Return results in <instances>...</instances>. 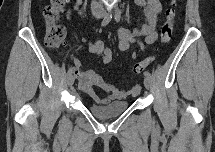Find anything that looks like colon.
<instances>
[{
  "instance_id": "5ec220e1",
  "label": "colon",
  "mask_w": 215,
  "mask_h": 152,
  "mask_svg": "<svg viewBox=\"0 0 215 152\" xmlns=\"http://www.w3.org/2000/svg\"><path fill=\"white\" fill-rule=\"evenodd\" d=\"M65 5V0H50L49 4L43 10V18L46 25L45 42L51 48H59L65 38V28L58 23L60 13ZM176 1H170V7L166 11V20L162 25L160 32V43L166 44L170 41L173 33L174 20L176 17ZM153 60L152 57L136 62L133 66V73L141 74L146 66ZM77 73V70H75Z\"/></svg>"
}]
</instances>
